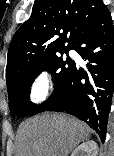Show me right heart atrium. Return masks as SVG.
Returning a JSON list of instances; mask_svg holds the SVG:
<instances>
[{"label": "right heart atrium", "instance_id": "right-heart-atrium-1", "mask_svg": "<svg viewBox=\"0 0 114 156\" xmlns=\"http://www.w3.org/2000/svg\"><path fill=\"white\" fill-rule=\"evenodd\" d=\"M55 85V78L49 71H41L32 79L29 87V97L32 103L44 102L52 93Z\"/></svg>", "mask_w": 114, "mask_h": 156}]
</instances>
